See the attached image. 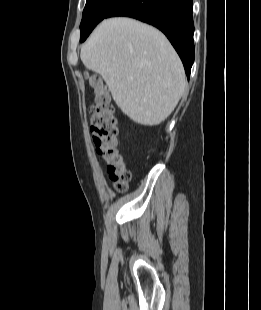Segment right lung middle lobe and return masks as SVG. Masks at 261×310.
<instances>
[{
	"label": "right lung middle lobe",
	"instance_id": "obj_1",
	"mask_svg": "<svg viewBox=\"0 0 261 310\" xmlns=\"http://www.w3.org/2000/svg\"><path fill=\"white\" fill-rule=\"evenodd\" d=\"M124 0H87L80 25L81 39ZM80 39V41H81Z\"/></svg>",
	"mask_w": 261,
	"mask_h": 310
}]
</instances>
